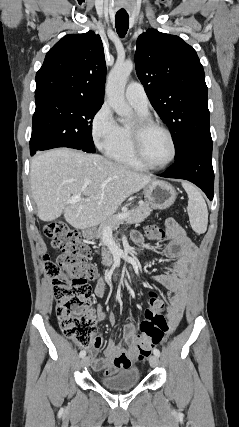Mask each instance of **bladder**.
I'll return each mask as SVG.
<instances>
[{
    "label": "bladder",
    "mask_w": 239,
    "mask_h": 427,
    "mask_svg": "<svg viewBox=\"0 0 239 427\" xmlns=\"http://www.w3.org/2000/svg\"><path fill=\"white\" fill-rule=\"evenodd\" d=\"M140 372L137 368H128L100 378L103 386L111 390L130 389L138 384Z\"/></svg>",
    "instance_id": "31cf9c89"
}]
</instances>
